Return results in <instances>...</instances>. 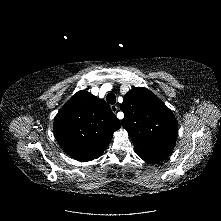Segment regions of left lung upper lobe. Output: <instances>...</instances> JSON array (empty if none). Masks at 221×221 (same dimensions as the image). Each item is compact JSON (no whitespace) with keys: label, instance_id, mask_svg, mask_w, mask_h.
<instances>
[{"label":"left lung upper lobe","instance_id":"left-lung-upper-lobe-1","mask_svg":"<svg viewBox=\"0 0 221 221\" xmlns=\"http://www.w3.org/2000/svg\"><path fill=\"white\" fill-rule=\"evenodd\" d=\"M123 127L138 156L158 163L171 155L177 139V121L171 110L146 88H134L121 104Z\"/></svg>","mask_w":221,"mask_h":221}]
</instances>
